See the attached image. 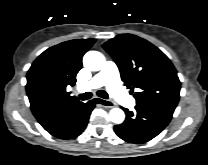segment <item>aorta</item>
<instances>
[{"mask_svg": "<svg viewBox=\"0 0 208 165\" xmlns=\"http://www.w3.org/2000/svg\"><path fill=\"white\" fill-rule=\"evenodd\" d=\"M83 64L91 71H99L105 64V57L98 51H88L83 57ZM109 118L113 123L121 124L125 119V114L120 108H112Z\"/></svg>", "mask_w": 208, "mask_h": 165, "instance_id": "aorta-1", "label": "aorta"}]
</instances>
